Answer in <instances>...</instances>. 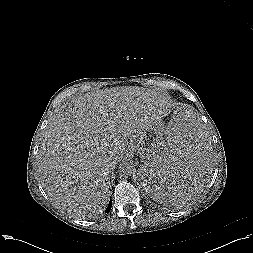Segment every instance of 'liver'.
I'll use <instances>...</instances> for the list:
<instances>
[{
  "label": "liver",
  "mask_w": 253,
  "mask_h": 253,
  "mask_svg": "<svg viewBox=\"0 0 253 253\" xmlns=\"http://www.w3.org/2000/svg\"><path fill=\"white\" fill-rule=\"evenodd\" d=\"M170 110L165 95L136 86L88 92L56 107L37 156L49 199L78 218L102 213L111 170L130 143Z\"/></svg>",
  "instance_id": "6515ba94"
}]
</instances>
